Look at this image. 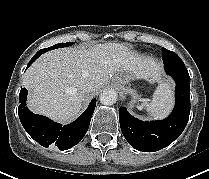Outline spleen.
<instances>
[{
	"instance_id": "1",
	"label": "spleen",
	"mask_w": 209,
	"mask_h": 179,
	"mask_svg": "<svg viewBox=\"0 0 209 179\" xmlns=\"http://www.w3.org/2000/svg\"><path fill=\"white\" fill-rule=\"evenodd\" d=\"M173 91L169 83L160 84L148 105L149 113L156 119L165 118L173 107Z\"/></svg>"
}]
</instances>
